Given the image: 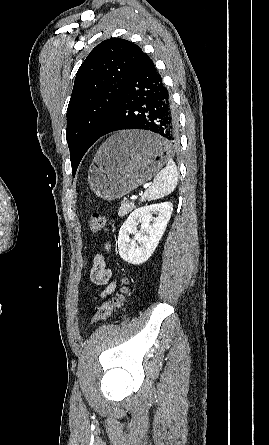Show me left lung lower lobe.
<instances>
[{
	"mask_svg": "<svg viewBox=\"0 0 269 445\" xmlns=\"http://www.w3.org/2000/svg\"><path fill=\"white\" fill-rule=\"evenodd\" d=\"M123 129L152 131L163 137L169 146L178 141V121L171 96L153 61L145 53L100 137Z\"/></svg>",
	"mask_w": 269,
	"mask_h": 445,
	"instance_id": "obj_1",
	"label": "left lung lower lobe"
}]
</instances>
